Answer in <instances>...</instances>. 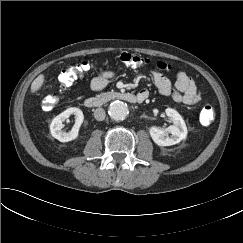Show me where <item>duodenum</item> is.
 I'll return each instance as SVG.
<instances>
[{"label":"duodenum","mask_w":243,"mask_h":243,"mask_svg":"<svg viewBox=\"0 0 243 243\" xmlns=\"http://www.w3.org/2000/svg\"><path fill=\"white\" fill-rule=\"evenodd\" d=\"M113 99H122L129 103H141L145 100V97L140 94H133L129 92L125 93H110L102 97H90L84 101V105L87 108H98L102 106L105 102Z\"/></svg>","instance_id":"duodenum-1"}]
</instances>
